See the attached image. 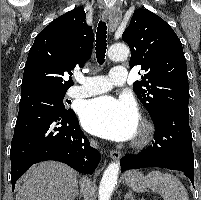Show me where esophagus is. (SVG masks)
Wrapping results in <instances>:
<instances>
[{
  "label": "esophagus",
  "instance_id": "34e87169",
  "mask_svg": "<svg viewBox=\"0 0 201 200\" xmlns=\"http://www.w3.org/2000/svg\"><path fill=\"white\" fill-rule=\"evenodd\" d=\"M111 15H112L111 10H104L102 13V17L104 20L110 19ZM110 157L114 160H118L121 157V152L119 150H112L110 152Z\"/></svg>",
  "mask_w": 201,
  "mask_h": 200
}]
</instances>
